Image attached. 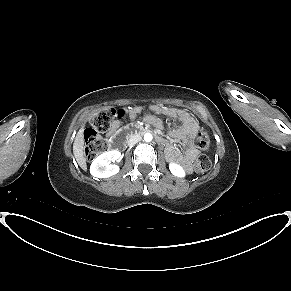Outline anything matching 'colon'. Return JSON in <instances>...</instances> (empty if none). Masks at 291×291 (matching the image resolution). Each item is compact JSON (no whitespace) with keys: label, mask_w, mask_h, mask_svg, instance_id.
<instances>
[{"label":"colon","mask_w":291,"mask_h":291,"mask_svg":"<svg viewBox=\"0 0 291 291\" xmlns=\"http://www.w3.org/2000/svg\"><path fill=\"white\" fill-rule=\"evenodd\" d=\"M123 109L107 108L92 117L89 127L84 132L85 157L93 160L103 153L107 145L102 139L101 134L110 130L112 123L123 117ZM193 144L199 150L206 152L210 148V136L208 132L202 130L194 138ZM210 167V159L206 154H200L194 163V170L203 173Z\"/></svg>","instance_id":"colon-1"}]
</instances>
